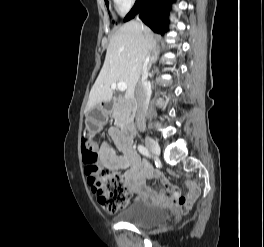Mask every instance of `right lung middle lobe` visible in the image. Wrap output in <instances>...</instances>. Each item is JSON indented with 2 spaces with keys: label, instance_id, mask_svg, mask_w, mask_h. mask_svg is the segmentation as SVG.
Here are the masks:
<instances>
[{
  "label": "right lung middle lobe",
  "instance_id": "1",
  "mask_svg": "<svg viewBox=\"0 0 264 247\" xmlns=\"http://www.w3.org/2000/svg\"><path fill=\"white\" fill-rule=\"evenodd\" d=\"M105 2H106V5L108 6V1H107V0H105Z\"/></svg>",
  "mask_w": 264,
  "mask_h": 247
}]
</instances>
